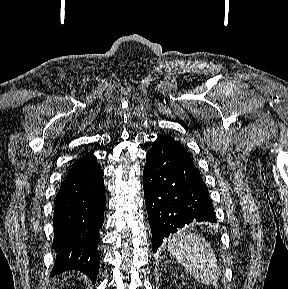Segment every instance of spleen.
I'll return each mask as SVG.
<instances>
[{"label":"spleen","mask_w":288,"mask_h":289,"mask_svg":"<svg viewBox=\"0 0 288 289\" xmlns=\"http://www.w3.org/2000/svg\"><path fill=\"white\" fill-rule=\"evenodd\" d=\"M168 251L200 284L211 285L218 280L215 253L200 235L183 228L169 241Z\"/></svg>","instance_id":"obj_1"}]
</instances>
